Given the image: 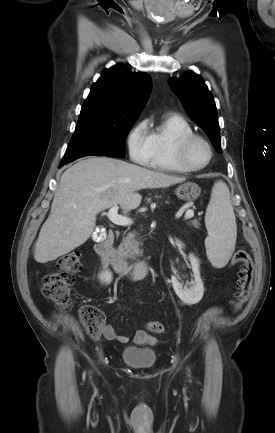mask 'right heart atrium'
I'll list each match as a JSON object with an SVG mask.
<instances>
[{"label":"right heart atrium","mask_w":275,"mask_h":433,"mask_svg":"<svg viewBox=\"0 0 275 433\" xmlns=\"http://www.w3.org/2000/svg\"><path fill=\"white\" fill-rule=\"evenodd\" d=\"M126 143L131 160L147 165L150 159V143L146 120L139 121L130 129Z\"/></svg>","instance_id":"right-heart-atrium-1"}]
</instances>
